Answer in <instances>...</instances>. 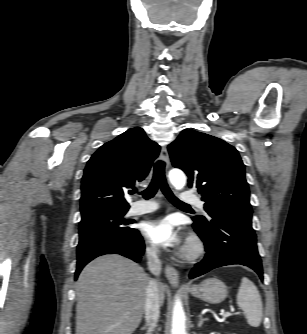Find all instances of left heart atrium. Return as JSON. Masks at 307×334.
<instances>
[{"label":"left heart atrium","instance_id":"39dd6f15","mask_svg":"<svg viewBox=\"0 0 307 334\" xmlns=\"http://www.w3.org/2000/svg\"><path fill=\"white\" fill-rule=\"evenodd\" d=\"M143 232L146 238L156 246H175L180 242L176 224L169 216L148 221Z\"/></svg>","mask_w":307,"mask_h":334}]
</instances>
